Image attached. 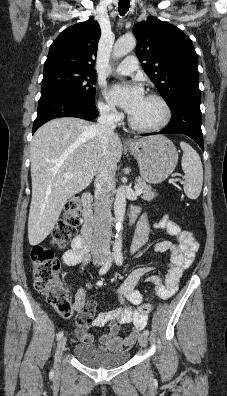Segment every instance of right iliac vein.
<instances>
[{
  "mask_svg": "<svg viewBox=\"0 0 227 396\" xmlns=\"http://www.w3.org/2000/svg\"><path fill=\"white\" fill-rule=\"evenodd\" d=\"M101 263H102L101 261H98L97 265H101ZM66 342H67L66 337H62L58 341L57 349H56V357H55L57 364H59L61 361V356L63 354V351L65 350Z\"/></svg>",
  "mask_w": 227,
  "mask_h": 396,
  "instance_id": "63e3f726",
  "label": "right iliac vein"
}]
</instances>
